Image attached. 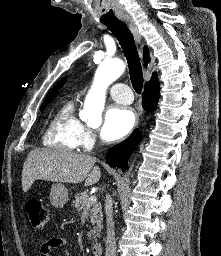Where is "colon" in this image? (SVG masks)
Wrapping results in <instances>:
<instances>
[{"mask_svg":"<svg viewBox=\"0 0 221 256\" xmlns=\"http://www.w3.org/2000/svg\"><path fill=\"white\" fill-rule=\"evenodd\" d=\"M26 210L32 227L36 230L44 229L49 222L50 215L43 203L35 198L29 199Z\"/></svg>","mask_w":221,"mask_h":256,"instance_id":"obj_1","label":"colon"}]
</instances>
